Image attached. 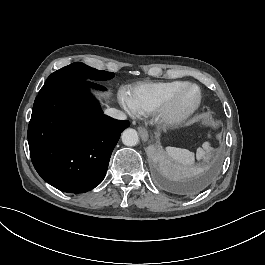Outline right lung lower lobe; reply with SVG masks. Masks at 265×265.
<instances>
[{"label":"right lung lower lobe","instance_id":"98d812e1","mask_svg":"<svg viewBox=\"0 0 265 265\" xmlns=\"http://www.w3.org/2000/svg\"><path fill=\"white\" fill-rule=\"evenodd\" d=\"M90 80L45 85L28 126L32 163L53 187L68 193L95 188L105 177L120 133L130 124L103 114Z\"/></svg>","mask_w":265,"mask_h":265}]
</instances>
